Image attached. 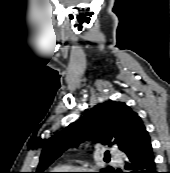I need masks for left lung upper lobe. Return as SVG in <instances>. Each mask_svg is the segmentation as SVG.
Returning a JSON list of instances; mask_svg holds the SVG:
<instances>
[{"label": "left lung upper lobe", "mask_w": 170, "mask_h": 173, "mask_svg": "<svg viewBox=\"0 0 170 173\" xmlns=\"http://www.w3.org/2000/svg\"><path fill=\"white\" fill-rule=\"evenodd\" d=\"M88 139L108 146L117 145L125 153L151 141L136 112L124 102L107 101L87 110L82 118L51 137L41 153L35 173H45L44 170L64 151ZM113 172L114 168L108 166L99 173Z\"/></svg>", "instance_id": "obj_1"}]
</instances>
